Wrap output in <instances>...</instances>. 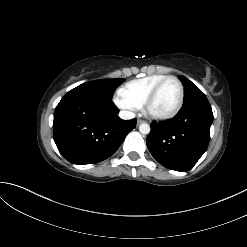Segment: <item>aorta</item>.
I'll return each mask as SVG.
<instances>
[{"instance_id":"762f6f07","label":"aorta","mask_w":247,"mask_h":247,"mask_svg":"<svg viewBox=\"0 0 247 247\" xmlns=\"http://www.w3.org/2000/svg\"><path fill=\"white\" fill-rule=\"evenodd\" d=\"M139 131L142 134H149L150 133V126L147 123H142L139 126Z\"/></svg>"}]
</instances>
